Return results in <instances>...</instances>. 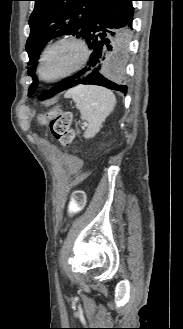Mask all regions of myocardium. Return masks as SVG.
Segmentation results:
<instances>
[{
    "label": "myocardium",
    "mask_w": 183,
    "mask_h": 329,
    "mask_svg": "<svg viewBox=\"0 0 183 329\" xmlns=\"http://www.w3.org/2000/svg\"><path fill=\"white\" fill-rule=\"evenodd\" d=\"M64 42H74V43H76L82 50V59L78 63V65L75 66L74 68H72L71 70H69V71H67V72H65V73H63V74H61L57 77H54V78H46L43 75V64H44L46 54L49 52L50 49H52L53 47H55V46H57L61 43H64ZM89 57H90V50H89L88 45L86 44V42L83 39H81L77 36H73V35L63 36V37L53 41L52 43H50L43 50V52L40 56V60H39V68H38L39 76L42 80H44L46 82H56V81L65 79V78L79 72L81 69H83L84 66L87 64V62L89 60Z\"/></svg>",
    "instance_id": "obj_1"
}]
</instances>
